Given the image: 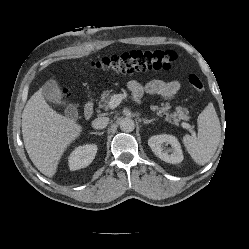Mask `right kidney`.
<instances>
[{
    "instance_id": "ca27d5eb",
    "label": "right kidney",
    "mask_w": 249,
    "mask_h": 249,
    "mask_svg": "<svg viewBox=\"0 0 249 249\" xmlns=\"http://www.w3.org/2000/svg\"><path fill=\"white\" fill-rule=\"evenodd\" d=\"M97 146L86 144L75 148L68 158L70 170H78L87 167L95 158Z\"/></svg>"
}]
</instances>
